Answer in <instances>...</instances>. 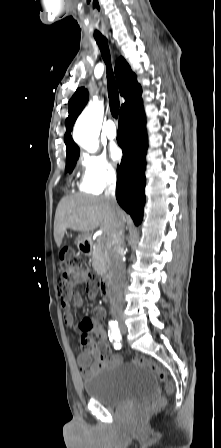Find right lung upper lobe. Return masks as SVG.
I'll return each mask as SVG.
<instances>
[{"instance_id": "cb5924a9", "label": "right lung upper lobe", "mask_w": 221, "mask_h": 448, "mask_svg": "<svg viewBox=\"0 0 221 448\" xmlns=\"http://www.w3.org/2000/svg\"><path fill=\"white\" fill-rule=\"evenodd\" d=\"M115 75L119 86L120 94L125 98L121 110H124L141 99L142 88L137 82L136 75L123 57H120L115 65ZM88 101V92L85 88H79L69 100V116L66 119V133L64 141L67 146V156L80 153L79 147L71 137V130L74 122Z\"/></svg>"}]
</instances>
